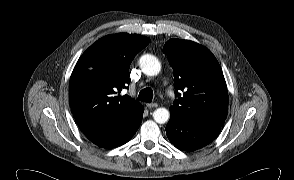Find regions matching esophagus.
<instances>
[{
  "mask_svg": "<svg viewBox=\"0 0 294 180\" xmlns=\"http://www.w3.org/2000/svg\"><path fill=\"white\" fill-rule=\"evenodd\" d=\"M146 106L148 108H156L158 106V104L157 103H147Z\"/></svg>",
  "mask_w": 294,
  "mask_h": 180,
  "instance_id": "34e87169",
  "label": "esophagus"
}]
</instances>
